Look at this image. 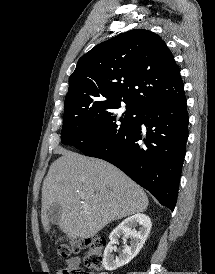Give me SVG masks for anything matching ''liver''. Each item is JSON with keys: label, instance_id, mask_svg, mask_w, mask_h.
Wrapping results in <instances>:
<instances>
[{"label": "liver", "instance_id": "liver-1", "mask_svg": "<svg viewBox=\"0 0 215 274\" xmlns=\"http://www.w3.org/2000/svg\"><path fill=\"white\" fill-rule=\"evenodd\" d=\"M42 188L41 221L50 230L48 209L62 208L58 225L69 239L94 237L108 223L140 213L146 193L122 171L103 160L61 149Z\"/></svg>", "mask_w": 215, "mask_h": 274}]
</instances>
